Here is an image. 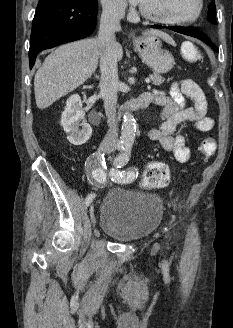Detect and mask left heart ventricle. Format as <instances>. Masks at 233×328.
Returning a JSON list of instances; mask_svg holds the SVG:
<instances>
[{"mask_svg":"<svg viewBox=\"0 0 233 328\" xmlns=\"http://www.w3.org/2000/svg\"><path fill=\"white\" fill-rule=\"evenodd\" d=\"M140 6L161 18L186 19L194 14L196 0H143Z\"/></svg>","mask_w":233,"mask_h":328,"instance_id":"obj_1","label":"left heart ventricle"}]
</instances>
